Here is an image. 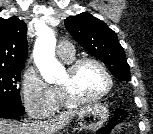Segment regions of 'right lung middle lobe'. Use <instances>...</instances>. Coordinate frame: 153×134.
Returning <instances> with one entry per match:
<instances>
[{
  "instance_id": "right-lung-middle-lobe-1",
  "label": "right lung middle lobe",
  "mask_w": 153,
  "mask_h": 134,
  "mask_svg": "<svg viewBox=\"0 0 153 134\" xmlns=\"http://www.w3.org/2000/svg\"><path fill=\"white\" fill-rule=\"evenodd\" d=\"M23 68L0 67V102L22 104L17 83Z\"/></svg>"
}]
</instances>
